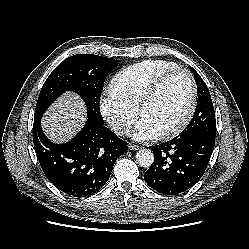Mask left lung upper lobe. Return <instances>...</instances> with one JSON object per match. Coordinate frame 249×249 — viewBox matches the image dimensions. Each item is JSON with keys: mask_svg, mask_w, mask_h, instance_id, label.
Segmentation results:
<instances>
[{"mask_svg": "<svg viewBox=\"0 0 249 249\" xmlns=\"http://www.w3.org/2000/svg\"><path fill=\"white\" fill-rule=\"evenodd\" d=\"M197 84L198 101L195 113L188 126L178 135L186 136L203 133L215 137L216 120L215 111L209 90L200 75L191 67Z\"/></svg>", "mask_w": 249, "mask_h": 249, "instance_id": "left-lung-upper-lobe-1", "label": "left lung upper lobe"}]
</instances>
